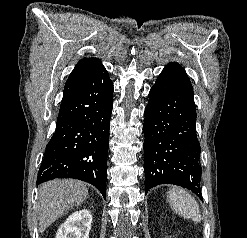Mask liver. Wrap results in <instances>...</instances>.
Returning <instances> with one entry per match:
<instances>
[{
    "mask_svg": "<svg viewBox=\"0 0 247 238\" xmlns=\"http://www.w3.org/2000/svg\"><path fill=\"white\" fill-rule=\"evenodd\" d=\"M87 197L88 189L80 181L58 179L44 183L39 188L36 206L39 231L44 232L66 210L80 205Z\"/></svg>",
    "mask_w": 247,
    "mask_h": 238,
    "instance_id": "1",
    "label": "liver"
}]
</instances>
